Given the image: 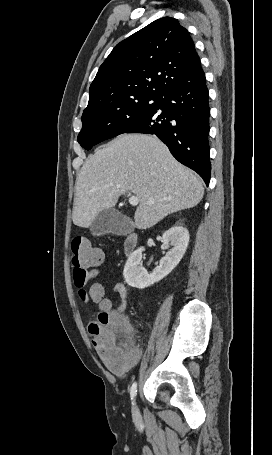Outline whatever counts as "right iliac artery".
Listing matches in <instances>:
<instances>
[{
	"mask_svg": "<svg viewBox=\"0 0 272 455\" xmlns=\"http://www.w3.org/2000/svg\"><path fill=\"white\" fill-rule=\"evenodd\" d=\"M136 394H137V384H136V382H134L132 387H131V389H130V396H131L132 400L134 399Z\"/></svg>",
	"mask_w": 272,
	"mask_h": 455,
	"instance_id": "1",
	"label": "right iliac artery"
}]
</instances>
